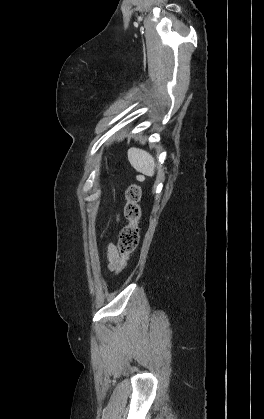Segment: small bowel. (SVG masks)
I'll list each match as a JSON object with an SVG mask.
<instances>
[{"instance_id":"small-bowel-1","label":"small bowel","mask_w":264,"mask_h":419,"mask_svg":"<svg viewBox=\"0 0 264 419\" xmlns=\"http://www.w3.org/2000/svg\"><path fill=\"white\" fill-rule=\"evenodd\" d=\"M120 259L121 256L116 246L113 243H109L106 246V260L108 269L111 271L118 269Z\"/></svg>"}]
</instances>
